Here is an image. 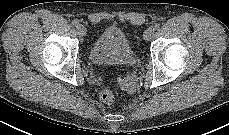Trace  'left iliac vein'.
Masks as SVG:
<instances>
[{"mask_svg":"<svg viewBox=\"0 0 229 135\" xmlns=\"http://www.w3.org/2000/svg\"><path fill=\"white\" fill-rule=\"evenodd\" d=\"M154 34H155L154 28L150 27L145 30L143 37L146 41H150L151 39H153Z\"/></svg>","mask_w":229,"mask_h":135,"instance_id":"obj_1","label":"left iliac vein"}]
</instances>
